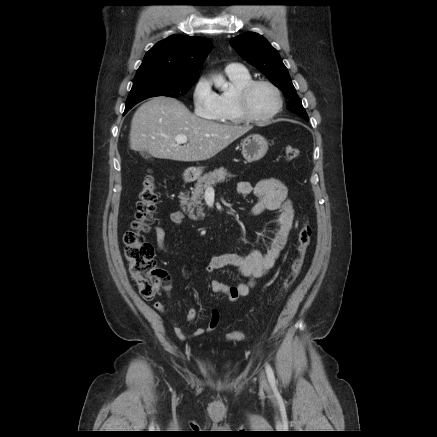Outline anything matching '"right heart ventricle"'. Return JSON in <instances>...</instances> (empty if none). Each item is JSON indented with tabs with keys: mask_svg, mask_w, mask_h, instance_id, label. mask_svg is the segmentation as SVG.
<instances>
[{
	"mask_svg": "<svg viewBox=\"0 0 437 437\" xmlns=\"http://www.w3.org/2000/svg\"><path fill=\"white\" fill-rule=\"evenodd\" d=\"M225 75L231 83V88L217 94L218 114L214 118L216 121L225 124H240L245 120L239 113L237 107V93L249 81L252 80L250 73L244 69H226Z\"/></svg>",
	"mask_w": 437,
	"mask_h": 437,
	"instance_id": "1",
	"label": "right heart ventricle"
}]
</instances>
